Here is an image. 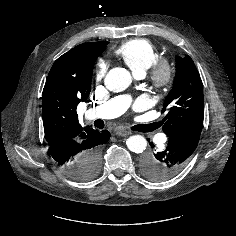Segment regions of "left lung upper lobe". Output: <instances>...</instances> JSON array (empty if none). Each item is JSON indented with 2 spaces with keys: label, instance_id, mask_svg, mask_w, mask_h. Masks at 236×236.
<instances>
[{
  "label": "left lung upper lobe",
  "instance_id": "5c2ea615",
  "mask_svg": "<svg viewBox=\"0 0 236 236\" xmlns=\"http://www.w3.org/2000/svg\"><path fill=\"white\" fill-rule=\"evenodd\" d=\"M163 131L169 136L184 128L203 125V84L193 60L187 55L176 57L173 87L165 98Z\"/></svg>",
  "mask_w": 236,
  "mask_h": 236
}]
</instances>
